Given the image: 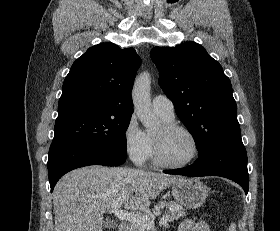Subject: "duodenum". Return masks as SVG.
<instances>
[{
	"mask_svg": "<svg viewBox=\"0 0 280 231\" xmlns=\"http://www.w3.org/2000/svg\"><path fill=\"white\" fill-rule=\"evenodd\" d=\"M117 231H129V226L126 222H121L119 225H118V228H117Z\"/></svg>",
	"mask_w": 280,
	"mask_h": 231,
	"instance_id": "410a0bca",
	"label": "duodenum"
}]
</instances>
